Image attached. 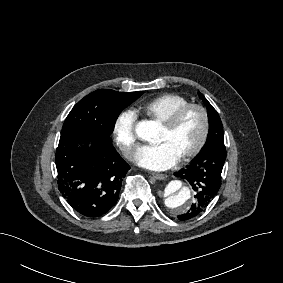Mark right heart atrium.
<instances>
[{
  "label": "right heart atrium",
  "instance_id": "d8ad5b80",
  "mask_svg": "<svg viewBox=\"0 0 283 283\" xmlns=\"http://www.w3.org/2000/svg\"><path fill=\"white\" fill-rule=\"evenodd\" d=\"M135 124L136 116L131 109L121 110L112 124L113 142L126 158H131L136 148Z\"/></svg>",
  "mask_w": 283,
  "mask_h": 283
}]
</instances>
